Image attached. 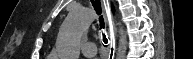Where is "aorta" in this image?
Segmentation results:
<instances>
[{
    "label": "aorta",
    "mask_w": 193,
    "mask_h": 59,
    "mask_svg": "<svg viewBox=\"0 0 193 59\" xmlns=\"http://www.w3.org/2000/svg\"><path fill=\"white\" fill-rule=\"evenodd\" d=\"M95 17L94 10L86 7L75 8L68 14L60 28L56 43L61 57L65 59H78L80 38L95 20ZM126 52L127 36L124 27L121 26L117 58L124 59Z\"/></svg>",
    "instance_id": "762f6f07"
}]
</instances>
